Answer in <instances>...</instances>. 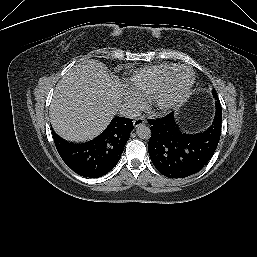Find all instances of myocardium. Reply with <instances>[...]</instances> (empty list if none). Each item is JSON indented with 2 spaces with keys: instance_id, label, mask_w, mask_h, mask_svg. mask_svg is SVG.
Masks as SVG:
<instances>
[{
  "instance_id": "myocardium-1",
  "label": "myocardium",
  "mask_w": 257,
  "mask_h": 257,
  "mask_svg": "<svg viewBox=\"0 0 257 257\" xmlns=\"http://www.w3.org/2000/svg\"><path fill=\"white\" fill-rule=\"evenodd\" d=\"M185 70L190 74V80L186 87L179 93L174 95H169L167 93V87L170 79L178 71ZM195 83V74L191 68L187 66H176L171 69L166 75L162 78L156 90L150 97L151 106L157 111H168L172 108L181 104L190 94Z\"/></svg>"
}]
</instances>
